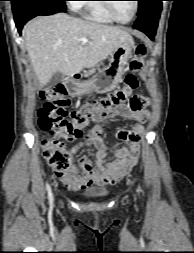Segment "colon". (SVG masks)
<instances>
[{
	"label": "colon",
	"mask_w": 194,
	"mask_h": 253,
	"mask_svg": "<svg viewBox=\"0 0 194 253\" xmlns=\"http://www.w3.org/2000/svg\"><path fill=\"white\" fill-rule=\"evenodd\" d=\"M146 55V45L138 44L130 60V73L126 76L123 87L97 102L79 106L71 112L70 119L67 118L70 101L64 86L48 87L39 92V97L44 102L39 111V125L47 133V138L43 140V155L55 171L65 172L71 168L72 158L64 146L66 143L82 139L84 128L90 122L128 104V97H133L139 86L136 73L142 68Z\"/></svg>",
	"instance_id": "colon-1"
}]
</instances>
